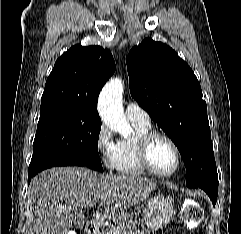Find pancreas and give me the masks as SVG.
<instances>
[{"label":"pancreas","instance_id":"obj_1","mask_svg":"<svg viewBox=\"0 0 241 234\" xmlns=\"http://www.w3.org/2000/svg\"><path fill=\"white\" fill-rule=\"evenodd\" d=\"M103 234H132L130 232H126L122 227L116 225H109ZM141 234H146L145 232H141Z\"/></svg>","mask_w":241,"mask_h":234}]
</instances>
